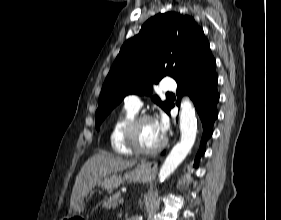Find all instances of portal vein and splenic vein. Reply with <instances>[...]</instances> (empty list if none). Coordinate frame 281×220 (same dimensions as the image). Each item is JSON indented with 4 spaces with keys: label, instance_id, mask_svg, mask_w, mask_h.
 Instances as JSON below:
<instances>
[{
    "label": "portal vein and splenic vein",
    "instance_id": "obj_1",
    "mask_svg": "<svg viewBox=\"0 0 281 220\" xmlns=\"http://www.w3.org/2000/svg\"><path fill=\"white\" fill-rule=\"evenodd\" d=\"M124 201H125L124 198H120L119 203H120V204H123Z\"/></svg>",
    "mask_w": 281,
    "mask_h": 220
}]
</instances>
